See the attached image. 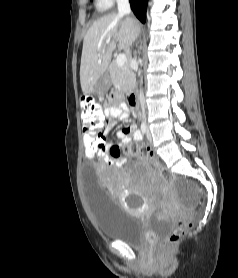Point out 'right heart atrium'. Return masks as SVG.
Returning a JSON list of instances; mask_svg holds the SVG:
<instances>
[{"label": "right heart atrium", "mask_w": 238, "mask_h": 278, "mask_svg": "<svg viewBox=\"0 0 238 278\" xmlns=\"http://www.w3.org/2000/svg\"><path fill=\"white\" fill-rule=\"evenodd\" d=\"M106 3L109 7L112 6L117 0H101Z\"/></svg>", "instance_id": "d8ad5b80"}]
</instances>
